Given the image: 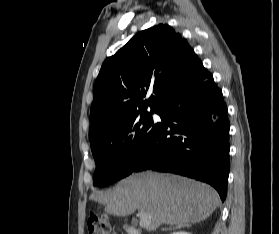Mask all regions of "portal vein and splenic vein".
I'll list each match as a JSON object with an SVG mask.
<instances>
[{
  "mask_svg": "<svg viewBox=\"0 0 279 234\" xmlns=\"http://www.w3.org/2000/svg\"><path fill=\"white\" fill-rule=\"evenodd\" d=\"M139 215H140V222H139L140 227H148L150 224V220L148 216L143 212H140Z\"/></svg>",
  "mask_w": 279,
  "mask_h": 234,
  "instance_id": "1",
  "label": "portal vein and splenic vein"
}]
</instances>
